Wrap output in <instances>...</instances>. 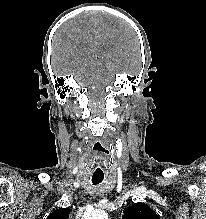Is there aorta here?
I'll return each mask as SVG.
<instances>
[{
    "mask_svg": "<svg viewBox=\"0 0 206 219\" xmlns=\"http://www.w3.org/2000/svg\"><path fill=\"white\" fill-rule=\"evenodd\" d=\"M83 219H108V215L105 211L97 210L84 215Z\"/></svg>",
    "mask_w": 206,
    "mask_h": 219,
    "instance_id": "aorta-1",
    "label": "aorta"
}]
</instances>
